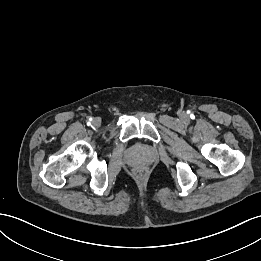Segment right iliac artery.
I'll return each mask as SVG.
<instances>
[{"label":"right iliac artery","mask_w":261,"mask_h":261,"mask_svg":"<svg viewBox=\"0 0 261 261\" xmlns=\"http://www.w3.org/2000/svg\"><path fill=\"white\" fill-rule=\"evenodd\" d=\"M92 120V118H90V121ZM88 125H90V122L87 123Z\"/></svg>","instance_id":"obj_1"}]
</instances>
